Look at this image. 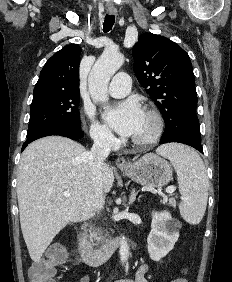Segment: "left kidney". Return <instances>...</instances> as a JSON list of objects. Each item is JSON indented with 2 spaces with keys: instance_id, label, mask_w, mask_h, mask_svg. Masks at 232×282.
Masks as SVG:
<instances>
[{
  "instance_id": "obj_1",
  "label": "left kidney",
  "mask_w": 232,
  "mask_h": 282,
  "mask_svg": "<svg viewBox=\"0 0 232 282\" xmlns=\"http://www.w3.org/2000/svg\"><path fill=\"white\" fill-rule=\"evenodd\" d=\"M180 223L167 211L153 212L151 232L147 239L149 256L154 261L165 257L179 238Z\"/></svg>"
}]
</instances>
